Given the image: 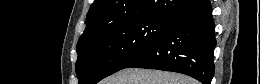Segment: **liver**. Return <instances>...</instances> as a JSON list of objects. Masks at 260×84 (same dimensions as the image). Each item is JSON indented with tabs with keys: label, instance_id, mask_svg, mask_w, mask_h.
Segmentation results:
<instances>
[{
	"label": "liver",
	"instance_id": "liver-1",
	"mask_svg": "<svg viewBox=\"0 0 260 84\" xmlns=\"http://www.w3.org/2000/svg\"><path fill=\"white\" fill-rule=\"evenodd\" d=\"M102 84H197L179 73L149 69H123L105 79Z\"/></svg>",
	"mask_w": 260,
	"mask_h": 84
}]
</instances>
